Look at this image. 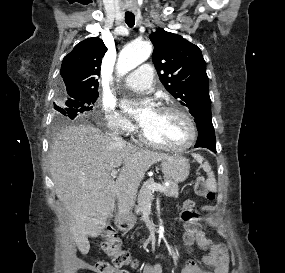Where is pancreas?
Segmentation results:
<instances>
[{
    "mask_svg": "<svg viewBox=\"0 0 285 273\" xmlns=\"http://www.w3.org/2000/svg\"><path fill=\"white\" fill-rule=\"evenodd\" d=\"M165 181L169 182V185H163L165 187V191H162V193L167 197H178L179 195V188L178 184L166 179ZM154 183L153 179H149L143 187L140 189L139 195H138V205L136 206L135 212L137 214L142 213L145 211V207L151 203L153 200V191L149 189V186Z\"/></svg>",
    "mask_w": 285,
    "mask_h": 273,
    "instance_id": "obj_1",
    "label": "pancreas"
}]
</instances>
